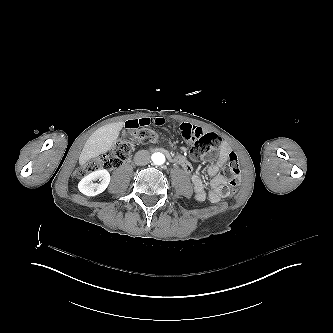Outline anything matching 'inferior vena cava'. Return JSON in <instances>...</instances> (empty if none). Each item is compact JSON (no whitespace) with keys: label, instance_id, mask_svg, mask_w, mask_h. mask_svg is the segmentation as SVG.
I'll list each match as a JSON object with an SVG mask.
<instances>
[{"label":"inferior vena cava","instance_id":"602c4592","mask_svg":"<svg viewBox=\"0 0 333 333\" xmlns=\"http://www.w3.org/2000/svg\"><path fill=\"white\" fill-rule=\"evenodd\" d=\"M150 162V153L147 150H140L134 156V163L138 166L147 165Z\"/></svg>","mask_w":333,"mask_h":333}]
</instances>
